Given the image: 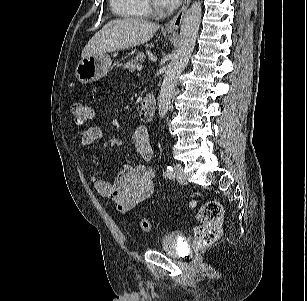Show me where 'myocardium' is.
<instances>
[{
	"instance_id": "f54148a6",
	"label": "myocardium",
	"mask_w": 307,
	"mask_h": 301,
	"mask_svg": "<svg viewBox=\"0 0 307 301\" xmlns=\"http://www.w3.org/2000/svg\"><path fill=\"white\" fill-rule=\"evenodd\" d=\"M147 6H148V9L150 10H153L154 11V4L151 0H145Z\"/></svg>"
}]
</instances>
